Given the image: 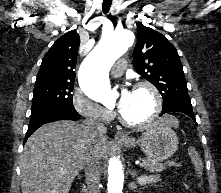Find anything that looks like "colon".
<instances>
[{
  "mask_svg": "<svg viewBox=\"0 0 221 193\" xmlns=\"http://www.w3.org/2000/svg\"><path fill=\"white\" fill-rule=\"evenodd\" d=\"M189 155L191 157L193 166H194V171H195V176L198 182V188L201 189L202 187V175H203V170H204V165L203 161L201 160L199 154L197 151L193 148L189 150Z\"/></svg>",
  "mask_w": 221,
  "mask_h": 193,
  "instance_id": "1",
  "label": "colon"
}]
</instances>
